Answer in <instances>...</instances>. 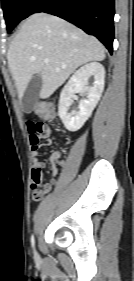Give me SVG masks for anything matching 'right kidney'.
Segmentation results:
<instances>
[{
  "mask_svg": "<svg viewBox=\"0 0 134 281\" xmlns=\"http://www.w3.org/2000/svg\"><path fill=\"white\" fill-rule=\"evenodd\" d=\"M90 76L94 77L93 86L88 83ZM104 78V67L100 63L91 62L78 69L64 86L60 94L58 114L67 130H79L91 116L102 95ZM77 92L85 95L86 99L80 100L78 111L69 113L74 94Z\"/></svg>",
  "mask_w": 134,
  "mask_h": 281,
  "instance_id": "right-kidney-1",
  "label": "right kidney"
}]
</instances>
